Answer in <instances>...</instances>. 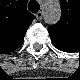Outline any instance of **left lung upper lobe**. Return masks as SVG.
<instances>
[{"label":"left lung upper lobe","mask_w":80,"mask_h":80,"mask_svg":"<svg viewBox=\"0 0 80 80\" xmlns=\"http://www.w3.org/2000/svg\"><path fill=\"white\" fill-rule=\"evenodd\" d=\"M62 5V19L58 24L50 27L48 32L51 39L55 40L57 37L59 42L69 44L73 37L80 36V18L72 14L69 4L63 0L60 1Z\"/></svg>","instance_id":"1"}]
</instances>
